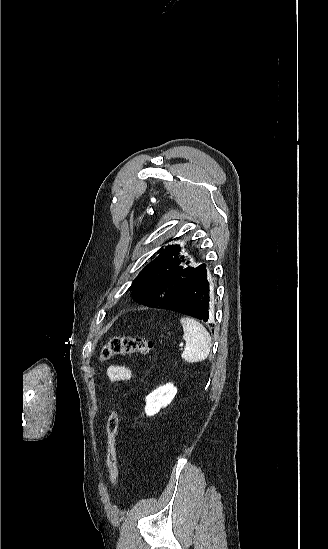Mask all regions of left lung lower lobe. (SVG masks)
Instances as JSON below:
<instances>
[{
	"label": "left lung lower lobe",
	"mask_w": 328,
	"mask_h": 549,
	"mask_svg": "<svg viewBox=\"0 0 328 549\" xmlns=\"http://www.w3.org/2000/svg\"><path fill=\"white\" fill-rule=\"evenodd\" d=\"M210 297L207 270L205 264H202L179 281L168 299L161 300L150 307L179 312L208 323L211 319Z\"/></svg>",
	"instance_id": "1"
}]
</instances>
